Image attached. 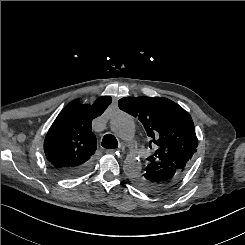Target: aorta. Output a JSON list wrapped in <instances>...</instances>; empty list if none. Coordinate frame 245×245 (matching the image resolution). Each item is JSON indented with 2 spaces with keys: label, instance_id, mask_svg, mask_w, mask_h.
<instances>
[{
  "label": "aorta",
  "instance_id": "1",
  "mask_svg": "<svg viewBox=\"0 0 245 245\" xmlns=\"http://www.w3.org/2000/svg\"><path fill=\"white\" fill-rule=\"evenodd\" d=\"M110 129L118 138L125 142L134 139L135 125L132 118L126 113L118 112L115 114L110 120ZM123 170L129 178L140 175L142 170L140 160L133 155H128L124 160Z\"/></svg>",
  "mask_w": 245,
  "mask_h": 245
}]
</instances>
